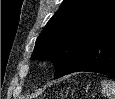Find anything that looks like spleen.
<instances>
[{
  "label": "spleen",
  "instance_id": "3e777b00",
  "mask_svg": "<svg viewBox=\"0 0 115 99\" xmlns=\"http://www.w3.org/2000/svg\"><path fill=\"white\" fill-rule=\"evenodd\" d=\"M101 86L102 93L107 99H115V81L103 80Z\"/></svg>",
  "mask_w": 115,
  "mask_h": 99
}]
</instances>
